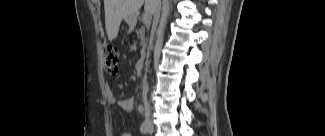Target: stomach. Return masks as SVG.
<instances>
[{
    "instance_id": "obj_1",
    "label": "stomach",
    "mask_w": 325,
    "mask_h": 136,
    "mask_svg": "<svg viewBox=\"0 0 325 136\" xmlns=\"http://www.w3.org/2000/svg\"><path fill=\"white\" fill-rule=\"evenodd\" d=\"M136 17L135 16H132V15H130V16H126L125 17V20H126V22L130 25V26H134L135 25V23H136Z\"/></svg>"
}]
</instances>
